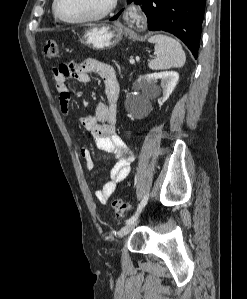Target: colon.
Wrapping results in <instances>:
<instances>
[{"instance_id":"obj_1","label":"colon","mask_w":247,"mask_h":299,"mask_svg":"<svg viewBox=\"0 0 247 299\" xmlns=\"http://www.w3.org/2000/svg\"><path fill=\"white\" fill-rule=\"evenodd\" d=\"M44 54L49 59H56L59 57V47L55 40H47L44 44ZM112 209L117 216H123L130 208V202L122 199L115 198L111 203Z\"/></svg>"}]
</instances>
